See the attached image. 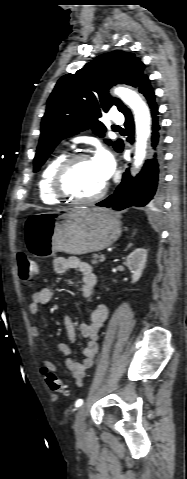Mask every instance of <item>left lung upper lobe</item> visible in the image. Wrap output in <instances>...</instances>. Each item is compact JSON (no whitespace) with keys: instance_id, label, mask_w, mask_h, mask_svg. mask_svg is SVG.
<instances>
[{"instance_id":"1","label":"left lung upper lobe","mask_w":187,"mask_h":479,"mask_svg":"<svg viewBox=\"0 0 187 479\" xmlns=\"http://www.w3.org/2000/svg\"><path fill=\"white\" fill-rule=\"evenodd\" d=\"M144 68L133 53L116 50L98 56L75 74L61 77L47 101L34 172L62 139L89 128L103 137L106 127L98 120L102 112L113 106L122 113L127 109L119 99L109 95V88L119 83L139 88L147 78ZM105 141L111 144L110 140ZM121 144V140L113 144L116 151Z\"/></svg>"}]
</instances>
